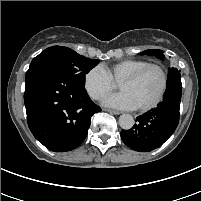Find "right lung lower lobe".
Here are the masks:
<instances>
[{
  "instance_id": "right-lung-lower-lobe-1",
  "label": "right lung lower lobe",
  "mask_w": 201,
  "mask_h": 201,
  "mask_svg": "<svg viewBox=\"0 0 201 201\" xmlns=\"http://www.w3.org/2000/svg\"><path fill=\"white\" fill-rule=\"evenodd\" d=\"M24 102L29 129L54 152L77 148L86 138L91 117L101 111L74 75L48 64L29 67Z\"/></svg>"
}]
</instances>
